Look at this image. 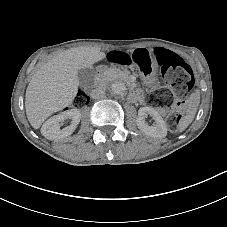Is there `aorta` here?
<instances>
[{"mask_svg":"<svg viewBox=\"0 0 227 227\" xmlns=\"http://www.w3.org/2000/svg\"><path fill=\"white\" fill-rule=\"evenodd\" d=\"M111 91L116 96H124L127 92V88L124 82L115 81L111 84Z\"/></svg>","mask_w":227,"mask_h":227,"instance_id":"762f6f07","label":"aorta"}]
</instances>
